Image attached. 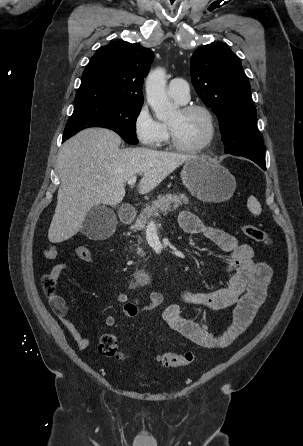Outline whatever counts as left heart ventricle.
Listing matches in <instances>:
<instances>
[{"label": "left heart ventricle", "instance_id": "b2bd125f", "mask_svg": "<svg viewBox=\"0 0 303 446\" xmlns=\"http://www.w3.org/2000/svg\"><path fill=\"white\" fill-rule=\"evenodd\" d=\"M177 140L185 146H196L208 135V124L205 116L199 111L182 113L179 109L168 120Z\"/></svg>", "mask_w": 303, "mask_h": 446}]
</instances>
